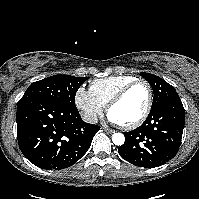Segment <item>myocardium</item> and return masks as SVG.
<instances>
[{
	"mask_svg": "<svg viewBox=\"0 0 199 199\" xmlns=\"http://www.w3.org/2000/svg\"><path fill=\"white\" fill-rule=\"evenodd\" d=\"M138 84H143L146 86L147 91H148V99H147V104L145 107V110L141 114L140 117H138L136 120L130 122V123H119L120 126L123 129H133L141 125L146 118L148 117L152 105H153V89L150 83L144 79H135L132 82L128 83L126 86H124L117 94L116 96L107 104V112L110 113V110L119 102L123 100L125 95L129 92L130 89H132L134 86Z\"/></svg>",
	"mask_w": 199,
	"mask_h": 199,
	"instance_id": "myocardium-1",
	"label": "myocardium"
}]
</instances>
